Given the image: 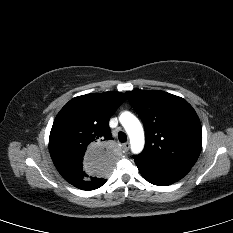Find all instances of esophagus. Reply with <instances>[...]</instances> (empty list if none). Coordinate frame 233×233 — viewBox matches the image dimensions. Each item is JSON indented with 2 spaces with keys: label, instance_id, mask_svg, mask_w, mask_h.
<instances>
[{
  "label": "esophagus",
  "instance_id": "obj_1",
  "mask_svg": "<svg viewBox=\"0 0 233 233\" xmlns=\"http://www.w3.org/2000/svg\"><path fill=\"white\" fill-rule=\"evenodd\" d=\"M130 148V143L126 142L124 144H122V149L124 152H127Z\"/></svg>",
  "mask_w": 233,
  "mask_h": 233
}]
</instances>
